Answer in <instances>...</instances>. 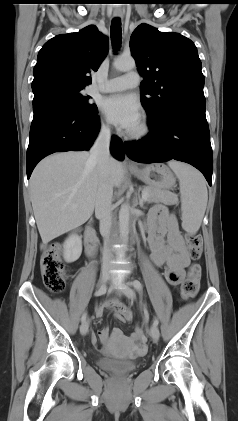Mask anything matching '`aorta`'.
I'll return each instance as SVG.
<instances>
[{"instance_id":"aorta-1","label":"aorta","mask_w":238,"mask_h":421,"mask_svg":"<svg viewBox=\"0 0 238 421\" xmlns=\"http://www.w3.org/2000/svg\"><path fill=\"white\" fill-rule=\"evenodd\" d=\"M113 66L118 71H129L136 67L135 60L132 57L128 58H117ZM129 204H123L119 211V230H120V236L124 243L128 240V234H129Z\"/></svg>"}]
</instances>
